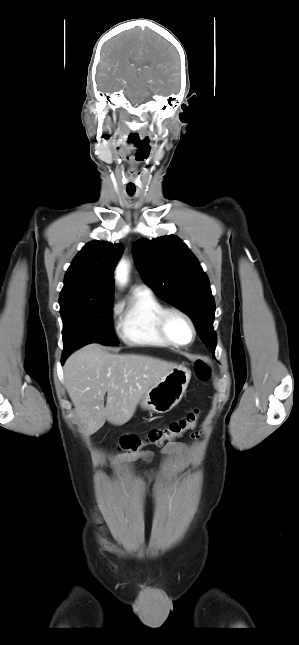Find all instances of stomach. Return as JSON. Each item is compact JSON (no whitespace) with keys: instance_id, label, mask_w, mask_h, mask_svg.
<instances>
[{"instance_id":"0dacf381","label":"stomach","mask_w":299,"mask_h":645,"mask_svg":"<svg viewBox=\"0 0 299 645\" xmlns=\"http://www.w3.org/2000/svg\"><path fill=\"white\" fill-rule=\"evenodd\" d=\"M191 378V372L182 366L170 370L151 387L140 400L143 410L167 413L182 399Z\"/></svg>"}]
</instances>
